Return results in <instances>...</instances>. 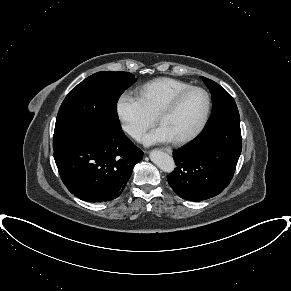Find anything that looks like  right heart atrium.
<instances>
[{"label": "right heart atrium", "mask_w": 291, "mask_h": 291, "mask_svg": "<svg viewBox=\"0 0 291 291\" xmlns=\"http://www.w3.org/2000/svg\"><path fill=\"white\" fill-rule=\"evenodd\" d=\"M116 112L124 131L136 140L155 123V117L148 112L141 100L126 92L118 97Z\"/></svg>", "instance_id": "right-heart-atrium-1"}]
</instances>
